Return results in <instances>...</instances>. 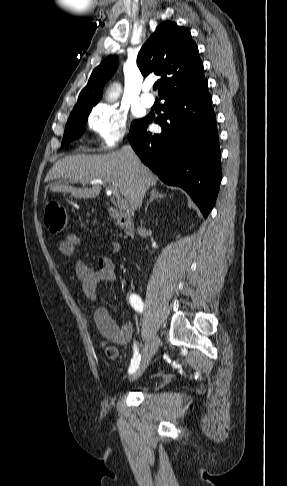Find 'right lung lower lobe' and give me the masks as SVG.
<instances>
[{
    "mask_svg": "<svg viewBox=\"0 0 287 486\" xmlns=\"http://www.w3.org/2000/svg\"><path fill=\"white\" fill-rule=\"evenodd\" d=\"M165 113L139 120L129 140L141 161L168 185L188 192L205 217L212 210L221 181L216 117L207 79L165 92ZM154 119L161 134L147 132Z\"/></svg>",
    "mask_w": 287,
    "mask_h": 486,
    "instance_id": "98d812e1",
    "label": "right lung lower lobe"
}]
</instances>
